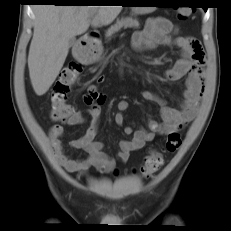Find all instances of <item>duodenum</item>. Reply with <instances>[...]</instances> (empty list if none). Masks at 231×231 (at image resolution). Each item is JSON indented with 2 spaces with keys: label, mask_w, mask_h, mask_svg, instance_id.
I'll list each match as a JSON object with an SVG mask.
<instances>
[{
  "label": "duodenum",
  "mask_w": 231,
  "mask_h": 231,
  "mask_svg": "<svg viewBox=\"0 0 231 231\" xmlns=\"http://www.w3.org/2000/svg\"><path fill=\"white\" fill-rule=\"evenodd\" d=\"M85 38H86V41H89V40H95V39H98L99 38V35L97 32H94V31H91V32H87L85 34ZM78 53H83L84 51L83 50H77Z\"/></svg>",
  "instance_id": "410a0bca"
}]
</instances>
